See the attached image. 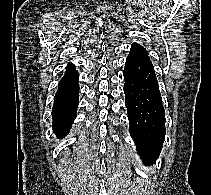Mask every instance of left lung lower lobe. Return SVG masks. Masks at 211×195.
Instances as JSON below:
<instances>
[{"mask_svg": "<svg viewBox=\"0 0 211 195\" xmlns=\"http://www.w3.org/2000/svg\"><path fill=\"white\" fill-rule=\"evenodd\" d=\"M129 132L146 165L158 158L165 138V111L152 62L127 57L123 71Z\"/></svg>", "mask_w": 211, "mask_h": 195, "instance_id": "1", "label": "left lung lower lobe"}]
</instances>
